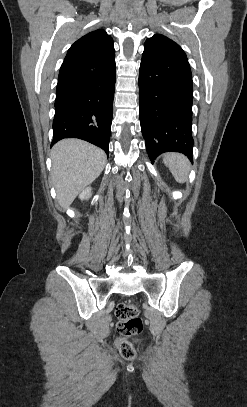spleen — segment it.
Here are the masks:
<instances>
[{
  "label": "spleen",
  "mask_w": 247,
  "mask_h": 407,
  "mask_svg": "<svg viewBox=\"0 0 247 407\" xmlns=\"http://www.w3.org/2000/svg\"><path fill=\"white\" fill-rule=\"evenodd\" d=\"M163 162L177 182L185 183L188 180L190 161L187 157L180 153H166Z\"/></svg>",
  "instance_id": "spleen-1"
}]
</instances>
